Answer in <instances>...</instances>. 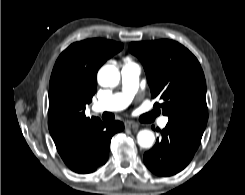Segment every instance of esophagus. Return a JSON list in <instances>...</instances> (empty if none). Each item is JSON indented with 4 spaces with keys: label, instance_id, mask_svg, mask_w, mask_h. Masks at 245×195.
<instances>
[{
    "label": "esophagus",
    "instance_id": "34e87169",
    "mask_svg": "<svg viewBox=\"0 0 245 195\" xmlns=\"http://www.w3.org/2000/svg\"><path fill=\"white\" fill-rule=\"evenodd\" d=\"M126 128L129 129H138L139 128V124L135 123V122H127L126 123Z\"/></svg>",
    "mask_w": 245,
    "mask_h": 195
}]
</instances>
